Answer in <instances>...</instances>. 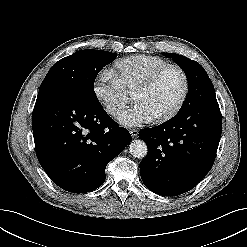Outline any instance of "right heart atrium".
I'll return each mask as SVG.
<instances>
[{
  "label": "right heart atrium",
  "mask_w": 247,
  "mask_h": 247,
  "mask_svg": "<svg viewBox=\"0 0 247 247\" xmlns=\"http://www.w3.org/2000/svg\"><path fill=\"white\" fill-rule=\"evenodd\" d=\"M96 99L110 115H116L129 102L128 94L111 70H101L93 84Z\"/></svg>",
  "instance_id": "1"
}]
</instances>
